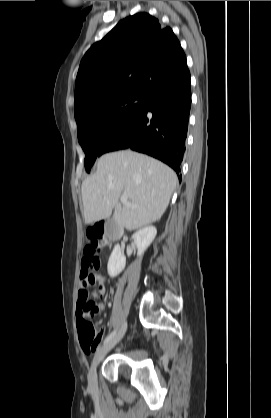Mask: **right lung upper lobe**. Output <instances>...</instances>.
Segmentation results:
<instances>
[{
	"label": "right lung upper lobe",
	"mask_w": 271,
	"mask_h": 418,
	"mask_svg": "<svg viewBox=\"0 0 271 418\" xmlns=\"http://www.w3.org/2000/svg\"><path fill=\"white\" fill-rule=\"evenodd\" d=\"M186 63L170 27L148 13L120 21L83 57L75 85L74 114L124 93L149 97Z\"/></svg>",
	"instance_id": "right-lung-upper-lobe-1"
}]
</instances>
